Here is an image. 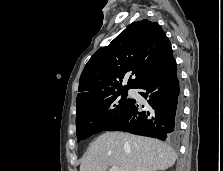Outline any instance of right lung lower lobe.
<instances>
[{"mask_svg": "<svg viewBox=\"0 0 223 171\" xmlns=\"http://www.w3.org/2000/svg\"><path fill=\"white\" fill-rule=\"evenodd\" d=\"M138 88L143 90L140 94L148 100L147 110L140 112L134 100L126 113L103 131H125L160 140L176 139L181 97L175 60Z\"/></svg>", "mask_w": 223, "mask_h": 171, "instance_id": "obj_1", "label": "right lung lower lobe"}]
</instances>
